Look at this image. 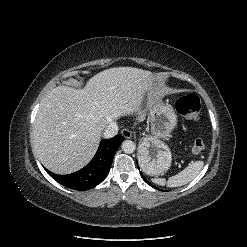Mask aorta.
Here are the masks:
<instances>
[{"label": "aorta", "instance_id": "obj_1", "mask_svg": "<svg viewBox=\"0 0 247 247\" xmlns=\"http://www.w3.org/2000/svg\"><path fill=\"white\" fill-rule=\"evenodd\" d=\"M122 150L127 153H133L136 149V145L133 141L131 140H125L122 145H121Z\"/></svg>", "mask_w": 247, "mask_h": 247}]
</instances>
